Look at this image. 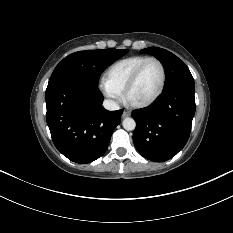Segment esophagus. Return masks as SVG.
<instances>
[{
	"label": "esophagus",
	"instance_id": "1",
	"mask_svg": "<svg viewBox=\"0 0 233 233\" xmlns=\"http://www.w3.org/2000/svg\"><path fill=\"white\" fill-rule=\"evenodd\" d=\"M130 115H131L130 112L124 111V112L122 113V118H126V117H128V116H130Z\"/></svg>",
	"mask_w": 233,
	"mask_h": 233
}]
</instances>
